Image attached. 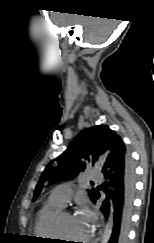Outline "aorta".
<instances>
[{"mask_svg":"<svg viewBox=\"0 0 154 243\" xmlns=\"http://www.w3.org/2000/svg\"><path fill=\"white\" fill-rule=\"evenodd\" d=\"M111 223L108 221L103 229L101 238H100V243H108L110 236H111Z\"/></svg>","mask_w":154,"mask_h":243,"instance_id":"aorta-1","label":"aorta"}]
</instances>
